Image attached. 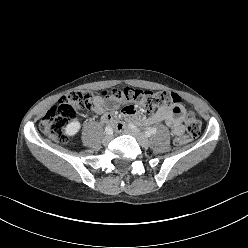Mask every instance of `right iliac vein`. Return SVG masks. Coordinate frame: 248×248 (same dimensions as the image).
Segmentation results:
<instances>
[{
	"instance_id": "obj_1",
	"label": "right iliac vein",
	"mask_w": 248,
	"mask_h": 248,
	"mask_svg": "<svg viewBox=\"0 0 248 248\" xmlns=\"http://www.w3.org/2000/svg\"><path fill=\"white\" fill-rule=\"evenodd\" d=\"M112 136L111 135H106V136H104V138H103V140H102V142H103V144L104 145H107L111 140H112Z\"/></svg>"
}]
</instances>
